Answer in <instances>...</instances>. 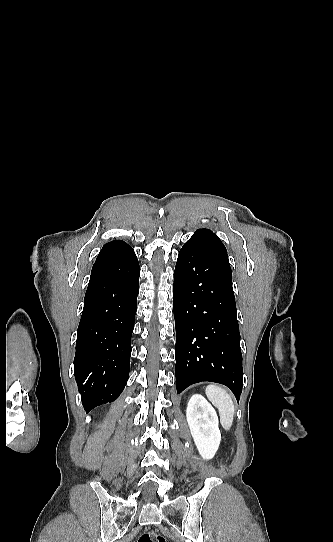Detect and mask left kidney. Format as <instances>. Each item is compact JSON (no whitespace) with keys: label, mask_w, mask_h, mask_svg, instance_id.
Returning a JSON list of instances; mask_svg holds the SVG:
<instances>
[{"label":"left kidney","mask_w":333,"mask_h":542,"mask_svg":"<svg viewBox=\"0 0 333 542\" xmlns=\"http://www.w3.org/2000/svg\"><path fill=\"white\" fill-rule=\"evenodd\" d=\"M186 420L200 456L203 460H212L219 448L221 434L218 416L201 394H193L190 398Z\"/></svg>","instance_id":"left-kidney-1"}]
</instances>
